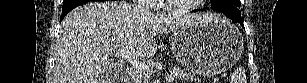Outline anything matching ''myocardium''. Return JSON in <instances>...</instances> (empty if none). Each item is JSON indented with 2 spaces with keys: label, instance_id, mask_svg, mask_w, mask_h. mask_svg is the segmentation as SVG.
<instances>
[{
  "label": "myocardium",
  "instance_id": "myocardium-1",
  "mask_svg": "<svg viewBox=\"0 0 307 83\" xmlns=\"http://www.w3.org/2000/svg\"><path fill=\"white\" fill-rule=\"evenodd\" d=\"M201 2H203V0H195L194 2L186 5H172L169 0L161 1L160 9H162L168 14L181 15L193 11L197 7L196 4H199Z\"/></svg>",
  "mask_w": 307,
  "mask_h": 83
}]
</instances>
